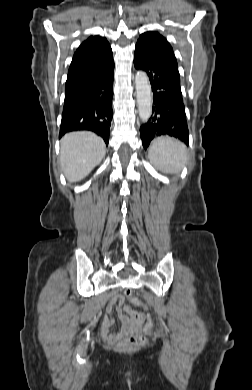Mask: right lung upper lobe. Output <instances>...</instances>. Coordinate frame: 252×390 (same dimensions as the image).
<instances>
[{
  "instance_id": "right-lung-upper-lobe-1",
  "label": "right lung upper lobe",
  "mask_w": 252,
  "mask_h": 390,
  "mask_svg": "<svg viewBox=\"0 0 252 390\" xmlns=\"http://www.w3.org/2000/svg\"><path fill=\"white\" fill-rule=\"evenodd\" d=\"M113 65L112 50L107 40L100 36H90L74 53L66 87L88 78L102 76Z\"/></svg>"
}]
</instances>
